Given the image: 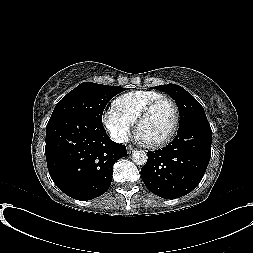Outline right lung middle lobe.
<instances>
[{
	"mask_svg": "<svg viewBox=\"0 0 253 253\" xmlns=\"http://www.w3.org/2000/svg\"><path fill=\"white\" fill-rule=\"evenodd\" d=\"M124 90L119 86L83 82L57 103L51 118L75 114L102 123V114L108 101Z\"/></svg>",
	"mask_w": 253,
	"mask_h": 253,
	"instance_id": "right-lung-middle-lobe-1",
	"label": "right lung middle lobe"
}]
</instances>
